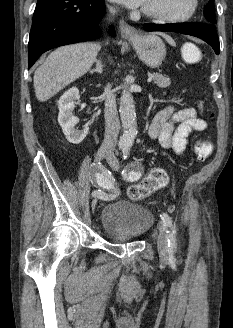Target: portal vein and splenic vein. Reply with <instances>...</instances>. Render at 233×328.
I'll return each instance as SVG.
<instances>
[{"instance_id":"18ae733b","label":"portal vein and splenic vein","mask_w":233,"mask_h":328,"mask_svg":"<svg viewBox=\"0 0 233 328\" xmlns=\"http://www.w3.org/2000/svg\"><path fill=\"white\" fill-rule=\"evenodd\" d=\"M152 79H153V76L150 75V76L148 77L147 81L150 83V82L152 81Z\"/></svg>"}]
</instances>
